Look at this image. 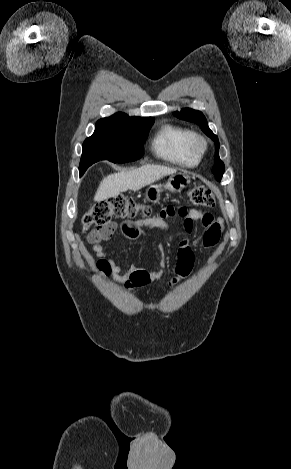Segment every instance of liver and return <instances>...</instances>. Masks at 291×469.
Returning a JSON list of instances; mask_svg holds the SVG:
<instances>
[{"label":"liver","instance_id":"obj_1","mask_svg":"<svg viewBox=\"0 0 291 469\" xmlns=\"http://www.w3.org/2000/svg\"><path fill=\"white\" fill-rule=\"evenodd\" d=\"M176 172V169L165 166L144 165L130 171L111 174L101 181L94 196V201L99 202L117 197L120 192H125L128 189L137 191L163 176L175 174Z\"/></svg>","mask_w":291,"mask_h":469}]
</instances>
